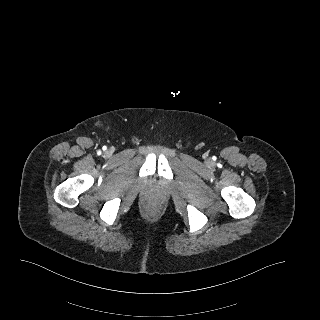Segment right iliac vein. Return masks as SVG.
Masks as SVG:
<instances>
[{
  "label": "right iliac vein",
  "instance_id": "63e3f726",
  "mask_svg": "<svg viewBox=\"0 0 320 320\" xmlns=\"http://www.w3.org/2000/svg\"><path fill=\"white\" fill-rule=\"evenodd\" d=\"M106 154H107V155L110 154V151H107Z\"/></svg>",
  "mask_w": 320,
  "mask_h": 320
}]
</instances>
